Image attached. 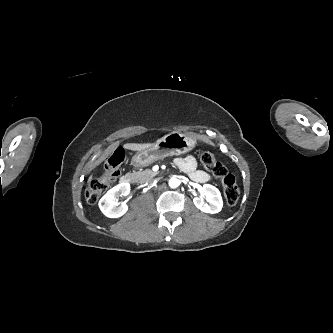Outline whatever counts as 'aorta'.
I'll return each mask as SVG.
<instances>
[{
	"label": "aorta",
	"mask_w": 333,
	"mask_h": 333,
	"mask_svg": "<svg viewBox=\"0 0 333 333\" xmlns=\"http://www.w3.org/2000/svg\"><path fill=\"white\" fill-rule=\"evenodd\" d=\"M168 184L171 188H177L180 185V181L178 178L172 177L170 178Z\"/></svg>",
	"instance_id": "1"
}]
</instances>
